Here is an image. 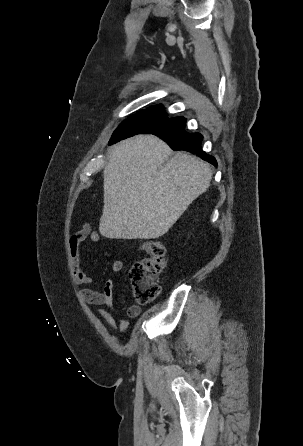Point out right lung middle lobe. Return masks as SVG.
<instances>
[{"label": "right lung middle lobe", "instance_id": "obj_1", "mask_svg": "<svg viewBox=\"0 0 303 446\" xmlns=\"http://www.w3.org/2000/svg\"><path fill=\"white\" fill-rule=\"evenodd\" d=\"M167 114L160 110H142L123 121L114 131L109 144L116 143L136 134H140L159 120L166 118Z\"/></svg>", "mask_w": 303, "mask_h": 446}]
</instances>
